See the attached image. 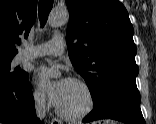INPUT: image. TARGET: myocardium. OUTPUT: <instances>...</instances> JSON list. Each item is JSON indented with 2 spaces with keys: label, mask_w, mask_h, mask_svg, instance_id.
Segmentation results:
<instances>
[{
  "label": "myocardium",
  "mask_w": 156,
  "mask_h": 124,
  "mask_svg": "<svg viewBox=\"0 0 156 124\" xmlns=\"http://www.w3.org/2000/svg\"><path fill=\"white\" fill-rule=\"evenodd\" d=\"M70 81L78 84L79 86H81L84 91L87 94V98H88V103L87 106L80 112L78 113H67L65 111H63L57 103H55V110L56 113L63 119L65 120H70V121H77V120H82L86 117H88L96 108V96L95 93L93 91V89L91 88V86L84 80L77 78V77H71L69 78Z\"/></svg>",
  "instance_id": "1"
}]
</instances>
